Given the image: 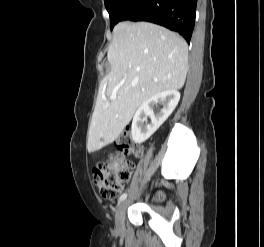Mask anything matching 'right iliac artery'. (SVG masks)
Segmentation results:
<instances>
[{"label": "right iliac artery", "mask_w": 264, "mask_h": 247, "mask_svg": "<svg viewBox=\"0 0 264 247\" xmlns=\"http://www.w3.org/2000/svg\"><path fill=\"white\" fill-rule=\"evenodd\" d=\"M126 197H127V194H126V193H123V194L120 196L119 201H123V200H125Z\"/></svg>", "instance_id": "right-iliac-artery-1"}]
</instances>
